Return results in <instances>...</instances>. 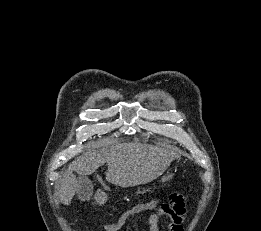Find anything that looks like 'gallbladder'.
<instances>
[{"instance_id":"1","label":"gallbladder","mask_w":261,"mask_h":231,"mask_svg":"<svg viewBox=\"0 0 261 231\" xmlns=\"http://www.w3.org/2000/svg\"><path fill=\"white\" fill-rule=\"evenodd\" d=\"M79 189L77 196L80 200H85L93 193V185L91 180L86 176H79L78 178Z\"/></svg>"}]
</instances>
